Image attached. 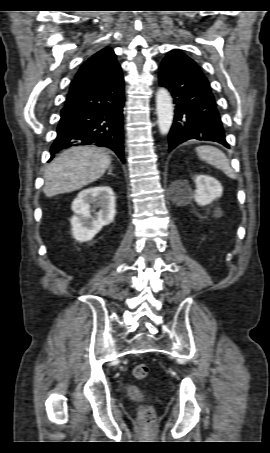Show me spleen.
Segmentation results:
<instances>
[{
	"label": "spleen",
	"instance_id": "1",
	"mask_svg": "<svg viewBox=\"0 0 270 453\" xmlns=\"http://www.w3.org/2000/svg\"><path fill=\"white\" fill-rule=\"evenodd\" d=\"M195 150L201 160L223 171L230 178H236L227 156L220 149L210 145H202L196 147Z\"/></svg>",
	"mask_w": 270,
	"mask_h": 453
}]
</instances>
